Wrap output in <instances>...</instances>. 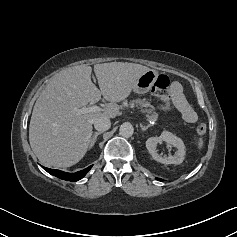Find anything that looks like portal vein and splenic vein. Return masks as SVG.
Masks as SVG:
<instances>
[{
  "mask_svg": "<svg viewBox=\"0 0 237 237\" xmlns=\"http://www.w3.org/2000/svg\"><path fill=\"white\" fill-rule=\"evenodd\" d=\"M100 111H102V108H100L97 105H93V106L88 107V108L83 107V108L75 110L76 115H81V114H85V113L100 112Z\"/></svg>",
  "mask_w": 237,
  "mask_h": 237,
  "instance_id": "1",
  "label": "portal vein and splenic vein"
}]
</instances>
